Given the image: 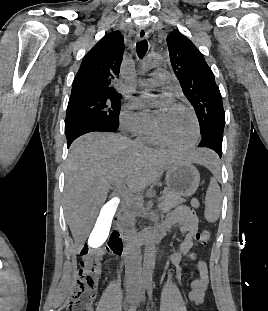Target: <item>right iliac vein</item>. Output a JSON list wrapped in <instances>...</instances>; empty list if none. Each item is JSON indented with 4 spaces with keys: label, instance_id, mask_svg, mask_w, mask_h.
I'll use <instances>...</instances> for the list:
<instances>
[{
    "label": "right iliac vein",
    "instance_id": "63e3f726",
    "mask_svg": "<svg viewBox=\"0 0 268 311\" xmlns=\"http://www.w3.org/2000/svg\"><path fill=\"white\" fill-rule=\"evenodd\" d=\"M136 296H137L136 288H130L127 292V297H126L127 304L131 306Z\"/></svg>",
    "mask_w": 268,
    "mask_h": 311
}]
</instances>
